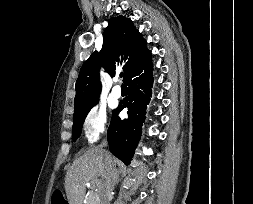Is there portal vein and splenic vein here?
I'll list each match as a JSON object with an SVG mask.
<instances>
[{
    "label": "portal vein and splenic vein",
    "instance_id": "18ae733b",
    "mask_svg": "<svg viewBox=\"0 0 253 204\" xmlns=\"http://www.w3.org/2000/svg\"><path fill=\"white\" fill-rule=\"evenodd\" d=\"M95 184H96L97 186H100V182H99V181H96Z\"/></svg>",
    "mask_w": 253,
    "mask_h": 204
}]
</instances>
